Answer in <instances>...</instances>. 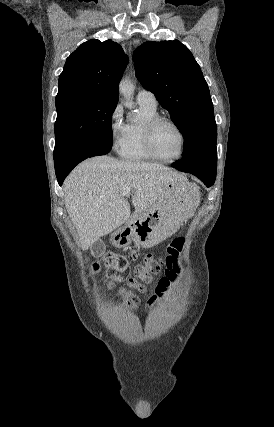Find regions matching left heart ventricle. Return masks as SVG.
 Masks as SVG:
<instances>
[{
	"label": "left heart ventricle",
	"instance_id": "left-heart-ventricle-1",
	"mask_svg": "<svg viewBox=\"0 0 274 427\" xmlns=\"http://www.w3.org/2000/svg\"><path fill=\"white\" fill-rule=\"evenodd\" d=\"M154 147L158 154L165 159L178 157L181 141L178 132L168 124H160L154 132Z\"/></svg>",
	"mask_w": 274,
	"mask_h": 427
}]
</instances>
